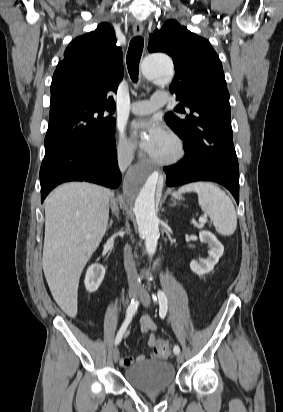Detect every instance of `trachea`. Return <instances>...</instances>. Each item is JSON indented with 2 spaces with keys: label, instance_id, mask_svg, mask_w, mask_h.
I'll list each match as a JSON object with an SVG mask.
<instances>
[{
  "label": "trachea",
  "instance_id": "obj_1",
  "mask_svg": "<svg viewBox=\"0 0 283 412\" xmlns=\"http://www.w3.org/2000/svg\"><path fill=\"white\" fill-rule=\"evenodd\" d=\"M144 46V40L140 36L134 37L129 45V49L126 56V64L128 72L133 82L138 81L139 75V62L141 59Z\"/></svg>",
  "mask_w": 283,
  "mask_h": 412
}]
</instances>
